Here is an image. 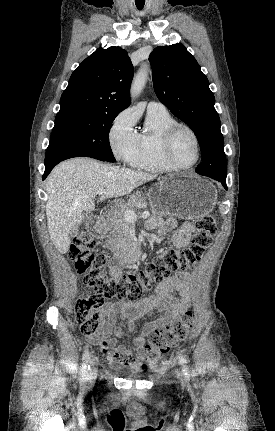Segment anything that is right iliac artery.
Segmentation results:
<instances>
[{
  "label": "right iliac artery",
  "mask_w": 275,
  "mask_h": 431,
  "mask_svg": "<svg viewBox=\"0 0 275 431\" xmlns=\"http://www.w3.org/2000/svg\"><path fill=\"white\" fill-rule=\"evenodd\" d=\"M89 362H90V354H89V351L86 349L82 357V365H81V377L83 380L87 379L88 369L90 367Z\"/></svg>",
  "instance_id": "obj_1"
}]
</instances>
